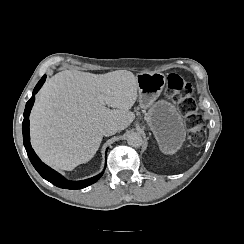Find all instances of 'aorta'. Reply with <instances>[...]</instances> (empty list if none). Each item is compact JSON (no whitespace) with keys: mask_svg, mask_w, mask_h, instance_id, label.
Returning <instances> with one entry per match:
<instances>
[{"mask_svg":"<svg viewBox=\"0 0 244 244\" xmlns=\"http://www.w3.org/2000/svg\"><path fill=\"white\" fill-rule=\"evenodd\" d=\"M142 137L137 132H131L127 135V143L132 147H140L142 145Z\"/></svg>","mask_w":244,"mask_h":244,"instance_id":"762f6f07","label":"aorta"}]
</instances>
